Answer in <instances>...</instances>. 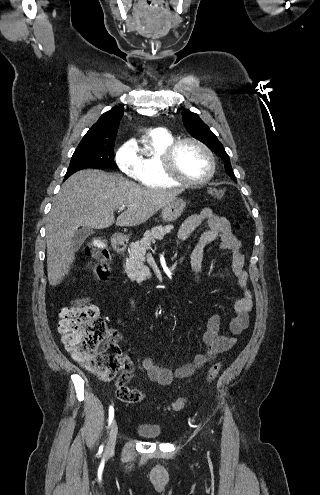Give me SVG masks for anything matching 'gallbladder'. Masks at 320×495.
<instances>
[{
	"label": "gallbladder",
	"mask_w": 320,
	"mask_h": 495,
	"mask_svg": "<svg viewBox=\"0 0 320 495\" xmlns=\"http://www.w3.org/2000/svg\"><path fill=\"white\" fill-rule=\"evenodd\" d=\"M94 233L93 229L89 227H80L78 228L73 235L72 245L75 250H78L79 247L83 244V242Z\"/></svg>",
	"instance_id": "1"
}]
</instances>
